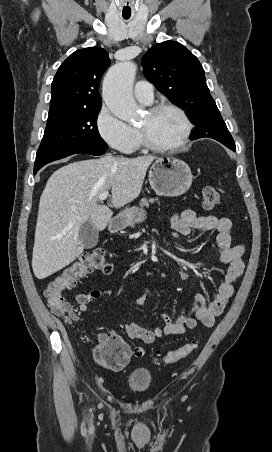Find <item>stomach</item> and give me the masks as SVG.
I'll return each mask as SVG.
<instances>
[{
    "label": "stomach",
    "instance_id": "obj_1",
    "mask_svg": "<svg viewBox=\"0 0 272 452\" xmlns=\"http://www.w3.org/2000/svg\"><path fill=\"white\" fill-rule=\"evenodd\" d=\"M149 183L156 194L164 197H177L184 194L191 186L193 175L190 167L174 157L157 158L149 170ZM146 218V212L139 208L125 211L121 226L140 223Z\"/></svg>",
    "mask_w": 272,
    "mask_h": 452
}]
</instances>
